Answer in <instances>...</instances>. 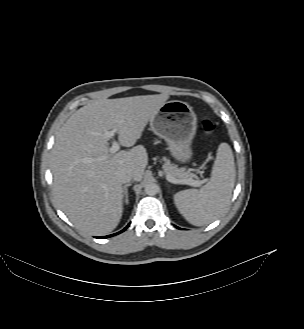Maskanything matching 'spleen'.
Instances as JSON below:
<instances>
[{
	"label": "spleen",
	"instance_id": "obj_1",
	"mask_svg": "<svg viewBox=\"0 0 304 329\" xmlns=\"http://www.w3.org/2000/svg\"><path fill=\"white\" fill-rule=\"evenodd\" d=\"M235 163L231 147L221 143L209 182L201 189H187L173 197L180 214L192 225L216 220L230 203L235 183Z\"/></svg>",
	"mask_w": 304,
	"mask_h": 329
}]
</instances>
